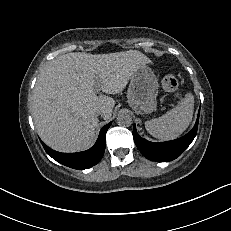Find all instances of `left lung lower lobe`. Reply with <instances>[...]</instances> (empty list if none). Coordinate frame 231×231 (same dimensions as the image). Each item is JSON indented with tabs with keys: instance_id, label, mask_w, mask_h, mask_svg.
I'll return each mask as SVG.
<instances>
[{
	"instance_id": "1",
	"label": "left lung lower lobe",
	"mask_w": 231,
	"mask_h": 231,
	"mask_svg": "<svg viewBox=\"0 0 231 231\" xmlns=\"http://www.w3.org/2000/svg\"><path fill=\"white\" fill-rule=\"evenodd\" d=\"M199 114L193 129L185 136L167 142L153 143L141 138L134 126L133 138L140 152L149 160L157 162H167L176 159L191 144L196 136L198 128Z\"/></svg>"
}]
</instances>
